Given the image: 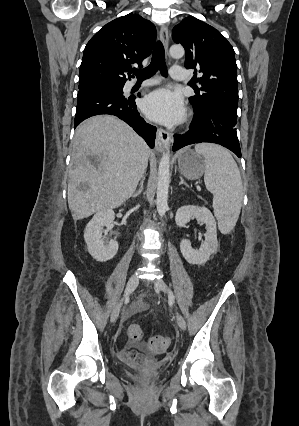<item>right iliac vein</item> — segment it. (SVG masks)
I'll list each match as a JSON object with an SVG mask.
<instances>
[{
  "label": "right iliac vein",
  "instance_id": "1",
  "mask_svg": "<svg viewBox=\"0 0 299 426\" xmlns=\"http://www.w3.org/2000/svg\"><path fill=\"white\" fill-rule=\"evenodd\" d=\"M138 283H139V279L136 275L130 276L126 285L123 298L117 303V305L112 310L111 318H110L112 323L115 322L117 317L119 316L123 301L136 289V287L138 286Z\"/></svg>",
  "mask_w": 299,
  "mask_h": 426
}]
</instances>
